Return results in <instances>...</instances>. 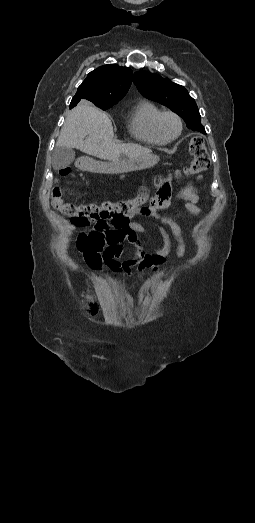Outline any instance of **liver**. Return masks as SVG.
<instances>
[{"instance_id": "6515ba94", "label": "liver", "mask_w": 255, "mask_h": 523, "mask_svg": "<svg viewBox=\"0 0 255 523\" xmlns=\"http://www.w3.org/2000/svg\"><path fill=\"white\" fill-rule=\"evenodd\" d=\"M113 138V126L108 116L89 102H80L74 110H70L56 146L77 148L89 156L109 160L110 164L105 166V174H113L116 168H120L122 154L129 160L149 156L152 166L159 162L158 156H153L149 148H143L139 144H113Z\"/></svg>"}]
</instances>
